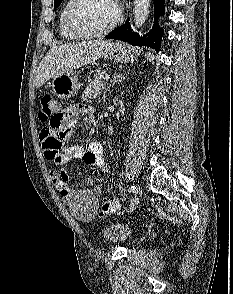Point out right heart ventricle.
I'll return each instance as SVG.
<instances>
[{
  "label": "right heart ventricle",
  "mask_w": 233,
  "mask_h": 294,
  "mask_svg": "<svg viewBox=\"0 0 233 294\" xmlns=\"http://www.w3.org/2000/svg\"><path fill=\"white\" fill-rule=\"evenodd\" d=\"M71 3V0H68L62 7L60 14H59V20H58V28H59V33L62 38L66 40H77L79 39L78 36L74 35L67 27L66 25V12Z\"/></svg>",
  "instance_id": "1"
}]
</instances>
